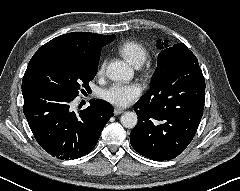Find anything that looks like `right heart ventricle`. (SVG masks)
Segmentation results:
<instances>
[{
    "label": "right heart ventricle",
    "mask_w": 240,
    "mask_h": 191,
    "mask_svg": "<svg viewBox=\"0 0 240 191\" xmlns=\"http://www.w3.org/2000/svg\"><path fill=\"white\" fill-rule=\"evenodd\" d=\"M118 52L129 63L135 66L142 65L148 57L147 48L140 42L128 40L118 46Z\"/></svg>",
    "instance_id": "right-heart-ventricle-1"
}]
</instances>
